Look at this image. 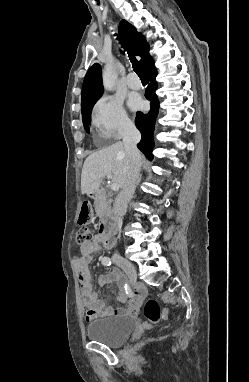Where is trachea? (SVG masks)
I'll return each mask as SVG.
<instances>
[{"label":"trachea","instance_id":"3493384b","mask_svg":"<svg viewBox=\"0 0 249 382\" xmlns=\"http://www.w3.org/2000/svg\"><path fill=\"white\" fill-rule=\"evenodd\" d=\"M119 41H120V44L122 45V47H124L125 50H126V47H125L124 43L122 42V40L119 39ZM128 54H129V59H130V61L132 63L133 71H135V73L140 78H146L147 76H146L145 72L143 71V69L141 68L138 60L135 58V56L133 54H131V53H128Z\"/></svg>","mask_w":249,"mask_h":382}]
</instances>
